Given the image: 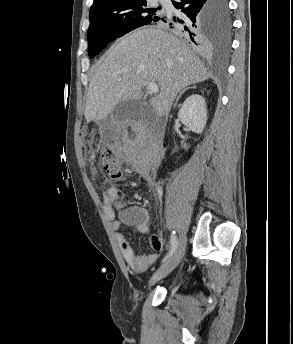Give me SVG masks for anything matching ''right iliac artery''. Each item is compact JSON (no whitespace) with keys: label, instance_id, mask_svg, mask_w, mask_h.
Masks as SVG:
<instances>
[{"label":"right iliac artery","instance_id":"1","mask_svg":"<svg viewBox=\"0 0 293 344\" xmlns=\"http://www.w3.org/2000/svg\"><path fill=\"white\" fill-rule=\"evenodd\" d=\"M170 244H171V250L169 251L167 256L163 259V262L166 261L169 257H171L173 255V253L175 252V250L178 246V241H177V238L175 236V231H172V233H171Z\"/></svg>","mask_w":293,"mask_h":344}]
</instances>
